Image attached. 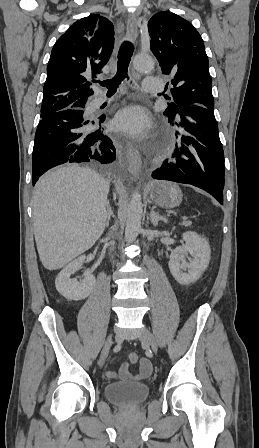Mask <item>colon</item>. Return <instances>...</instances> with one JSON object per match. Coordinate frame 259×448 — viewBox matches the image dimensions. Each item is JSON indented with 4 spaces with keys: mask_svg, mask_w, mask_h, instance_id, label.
<instances>
[{
    "mask_svg": "<svg viewBox=\"0 0 259 448\" xmlns=\"http://www.w3.org/2000/svg\"><path fill=\"white\" fill-rule=\"evenodd\" d=\"M128 359L131 363H137L139 360V356L136 353H131L129 354Z\"/></svg>",
    "mask_w": 259,
    "mask_h": 448,
    "instance_id": "colon-1",
    "label": "colon"
}]
</instances>
